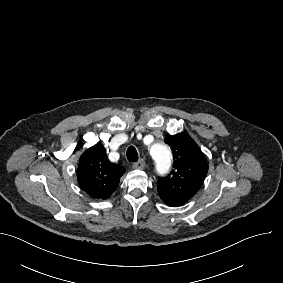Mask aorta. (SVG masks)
Here are the masks:
<instances>
[{
	"label": "aorta",
	"mask_w": 283,
	"mask_h": 283,
	"mask_svg": "<svg viewBox=\"0 0 283 283\" xmlns=\"http://www.w3.org/2000/svg\"><path fill=\"white\" fill-rule=\"evenodd\" d=\"M150 155L156 163V170L160 174H165L171 166L172 155L169 148L161 143L152 145Z\"/></svg>",
	"instance_id": "obj_1"
}]
</instances>
